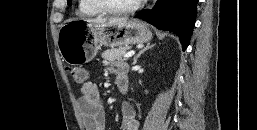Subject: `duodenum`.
Listing matches in <instances>:
<instances>
[{"label":"duodenum","instance_id":"1","mask_svg":"<svg viewBox=\"0 0 257 130\" xmlns=\"http://www.w3.org/2000/svg\"><path fill=\"white\" fill-rule=\"evenodd\" d=\"M118 88H119V91L123 94H125L128 90V85H127V82L126 81H120L118 82L117 84Z\"/></svg>","mask_w":257,"mask_h":130}]
</instances>
